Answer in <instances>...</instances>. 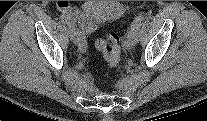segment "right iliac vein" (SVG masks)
<instances>
[{"label":"right iliac vein","mask_w":207,"mask_h":121,"mask_svg":"<svg viewBox=\"0 0 207 121\" xmlns=\"http://www.w3.org/2000/svg\"><path fill=\"white\" fill-rule=\"evenodd\" d=\"M68 34H69L70 39H71V41H72L73 43H75V44H79V43H78V34H77L76 29H75L74 26H70V27H69ZM80 49H81L82 51H84V50L86 49V47L83 46V47H81Z\"/></svg>","instance_id":"1"}]
</instances>
